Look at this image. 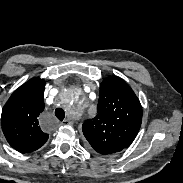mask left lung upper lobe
<instances>
[{
	"label": "left lung upper lobe",
	"instance_id": "1",
	"mask_svg": "<svg viewBox=\"0 0 183 183\" xmlns=\"http://www.w3.org/2000/svg\"><path fill=\"white\" fill-rule=\"evenodd\" d=\"M98 114L85 121L82 130L92 148L114 154L131 145L142 122V107L128 84L117 76L105 78L100 85Z\"/></svg>",
	"mask_w": 183,
	"mask_h": 183
}]
</instances>
